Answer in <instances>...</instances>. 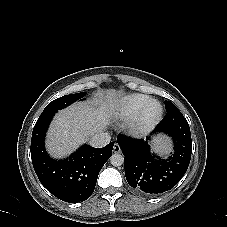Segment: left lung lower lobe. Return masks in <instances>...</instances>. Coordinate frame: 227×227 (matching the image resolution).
Wrapping results in <instances>:
<instances>
[{"label": "left lung lower lobe", "instance_id": "left-lung-lower-lobe-1", "mask_svg": "<svg viewBox=\"0 0 227 227\" xmlns=\"http://www.w3.org/2000/svg\"><path fill=\"white\" fill-rule=\"evenodd\" d=\"M162 133L172 137L174 143V154L167 159L150 152L152 138ZM117 141L124 155L126 180L141 195L156 196L171 190L188 169L192 153L190 127L176 106L167 110L146 140L119 136Z\"/></svg>", "mask_w": 227, "mask_h": 227}]
</instances>
